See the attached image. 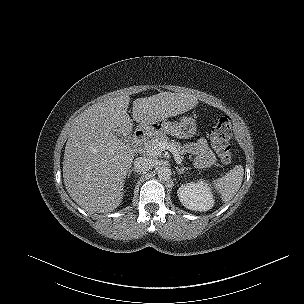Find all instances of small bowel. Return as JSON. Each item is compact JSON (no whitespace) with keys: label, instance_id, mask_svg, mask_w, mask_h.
I'll list each match as a JSON object with an SVG mask.
<instances>
[{"label":"small bowel","instance_id":"c3829d8e","mask_svg":"<svg viewBox=\"0 0 304 304\" xmlns=\"http://www.w3.org/2000/svg\"><path fill=\"white\" fill-rule=\"evenodd\" d=\"M186 148L194 156V162L199 167L209 165L214 160L213 154L204 140L192 143Z\"/></svg>","mask_w":304,"mask_h":304}]
</instances>
